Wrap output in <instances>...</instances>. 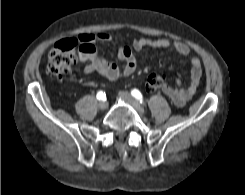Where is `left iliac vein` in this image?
I'll list each match as a JSON object with an SVG mask.
<instances>
[{"label": "left iliac vein", "mask_w": 245, "mask_h": 195, "mask_svg": "<svg viewBox=\"0 0 245 195\" xmlns=\"http://www.w3.org/2000/svg\"><path fill=\"white\" fill-rule=\"evenodd\" d=\"M118 96L129 103L139 114L144 115V109L138 104L137 100L126 91H120Z\"/></svg>", "instance_id": "left-iliac-vein-1"}]
</instances>
